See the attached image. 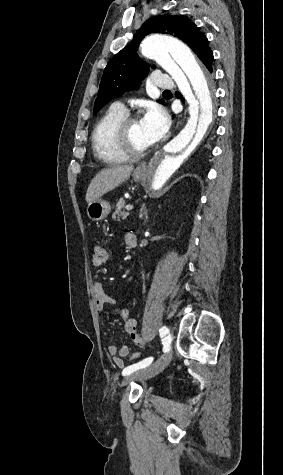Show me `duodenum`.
Wrapping results in <instances>:
<instances>
[{"label": "duodenum", "mask_w": 283, "mask_h": 475, "mask_svg": "<svg viewBox=\"0 0 283 475\" xmlns=\"http://www.w3.org/2000/svg\"><path fill=\"white\" fill-rule=\"evenodd\" d=\"M136 245H137V238L136 236H132L128 242V246L131 248H134L136 247Z\"/></svg>", "instance_id": "obj_1"}]
</instances>
